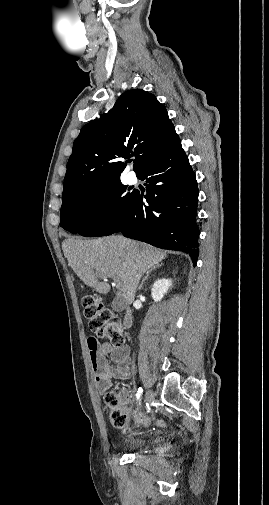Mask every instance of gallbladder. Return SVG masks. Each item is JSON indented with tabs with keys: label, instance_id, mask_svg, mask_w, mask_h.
<instances>
[{
	"label": "gallbladder",
	"instance_id": "bac80fb5",
	"mask_svg": "<svg viewBox=\"0 0 269 505\" xmlns=\"http://www.w3.org/2000/svg\"><path fill=\"white\" fill-rule=\"evenodd\" d=\"M126 304L123 297H116L111 304V308L115 312H121L125 309Z\"/></svg>",
	"mask_w": 269,
	"mask_h": 505
}]
</instances>
